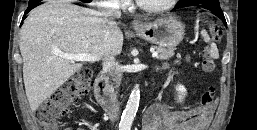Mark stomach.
Returning a JSON list of instances; mask_svg holds the SVG:
<instances>
[{"label": "stomach", "mask_w": 257, "mask_h": 130, "mask_svg": "<svg viewBox=\"0 0 257 130\" xmlns=\"http://www.w3.org/2000/svg\"><path fill=\"white\" fill-rule=\"evenodd\" d=\"M135 31L147 42L164 48H174L184 38L185 26L177 17L170 15L143 23Z\"/></svg>", "instance_id": "obj_1"}]
</instances>
